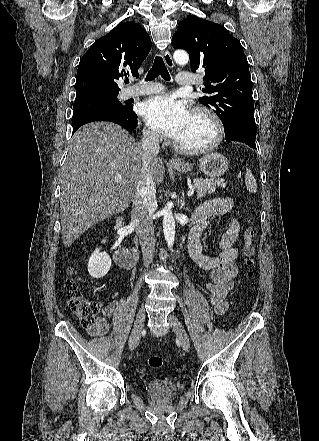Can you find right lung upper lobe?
Returning a JSON list of instances; mask_svg holds the SVG:
<instances>
[{
	"label": "right lung upper lobe",
	"instance_id": "right-lung-upper-lobe-1",
	"mask_svg": "<svg viewBox=\"0 0 319 441\" xmlns=\"http://www.w3.org/2000/svg\"><path fill=\"white\" fill-rule=\"evenodd\" d=\"M151 49L147 32L135 22L116 26L98 39L80 59L76 100L117 96L119 78L138 77Z\"/></svg>",
	"mask_w": 319,
	"mask_h": 441
}]
</instances>
